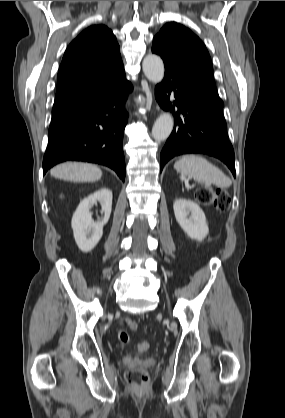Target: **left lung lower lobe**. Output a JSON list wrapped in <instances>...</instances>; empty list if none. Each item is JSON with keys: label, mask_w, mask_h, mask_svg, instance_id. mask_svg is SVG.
<instances>
[{"label": "left lung lower lobe", "mask_w": 285, "mask_h": 418, "mask_svg": "<svg viewBox=\"0 0 285 418\" xmlns=\"http://www.w3.org/2000/svg\"><path fill=\"white\" fill-rule=\"evenodd\" d=\"M152 52L165 65L164 80L155 88L156 100L162 109L177 111L174 129L161 152L160 170L175 156L200 153L223 161L235 177L234 150L216 87L171 59L159 45L153 44Z\"/></svg>", "instance_id": "1"}]
</instances>
